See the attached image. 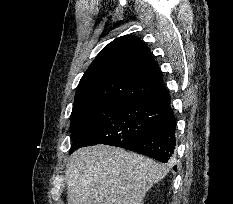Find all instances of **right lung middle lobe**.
<instances>
[{"label": "right lung middle lobe", "mask_w": 233, "mask_h": 204, "mask_svg": "<svg viewBox=\"0 0 233 204\" xmlns=\"http://www.w3.org/2000/svg\"><path fill=\"white\" fill-rule=\"evenodd\" d=\"M164 124L150 98H136L104 106L71 122V152L80 145L115 146L122 140L151 133Z\"/></svg>", "instance_id": "1"}]
</instances>
